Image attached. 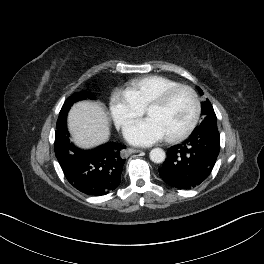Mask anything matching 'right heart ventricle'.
<instances>
[{"label": "right heart ventricle", "mask_w": 264, "mask_h": 264, "mask_svg": "<svg viewBox=\"0 0 264 264\" xmlns=\"http://www.w3.org/2000/svg\"><path fill=\"white\" fill-rule=\"evenodd\" d=\"M179 84L176 80L166 76L147 75L132 80L126 89V93L140 108L145 109L152 100L165 90Z\"/></svg>", "instance_id": "e07e8e85"}]
</instances>
